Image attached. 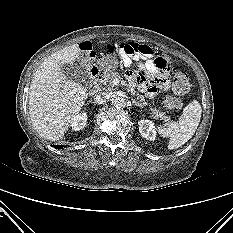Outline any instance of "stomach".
<instances>
[{
    "mask_svg": "<svg viewBox=\"0 0 233 233\" xmlns=\"http://www.w3.org/2000/svg\"><path fill=\"white\" fill-rule=\"evenodd\" d=\"M118 66V60L114 56H106L97 61V68L105 74L113 72Z\"/></svg>",
    "mask_w": 233,
    "mask_h": 233,
    "instance_id": "1",
    "label": "stomach"
}]
</instances>
